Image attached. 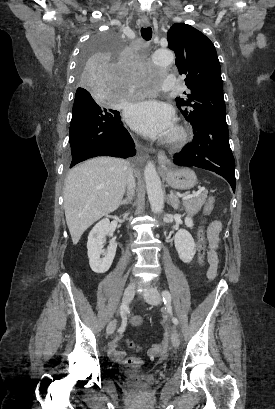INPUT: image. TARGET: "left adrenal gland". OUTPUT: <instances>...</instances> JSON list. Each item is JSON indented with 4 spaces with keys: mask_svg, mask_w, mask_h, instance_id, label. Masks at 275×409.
<instances>
[{
    "mask_svg": "<svg viewBox=\"0 0 275 409\" xmlns=\"http://www.w3.org/2000/svg\"><path fill=\"white\" fill-rule=\"evenodd\" d=\"M167 202L168 205H172L173 209H175V211H177V209H179V198L178 196H176V194H174L173 190H170V194H168V198H167Z\"/></svg>",
    "mask_w": 275,
    "mask_h": 409,
    "instance_id": "obj_1",
    "label": "left adrenal gland"
}]
</instances>
